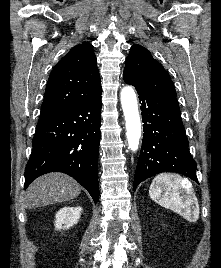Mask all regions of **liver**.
<instances>
[{"label":"liver","instance_id":"obj_1","mask_svg":"<svg viewBox=\"0 0 221 268\" xmlns=\"http://www.w3.org/2000/svg\"><path fill=\"white\" fill-rule=\"evenodd\" d=\"M81 192L80 184L68 175L49 173L31 183L24 197L27 209L69 201Z\"/></svg>","mask_w":221,"mask_h":268}]
</instances>
